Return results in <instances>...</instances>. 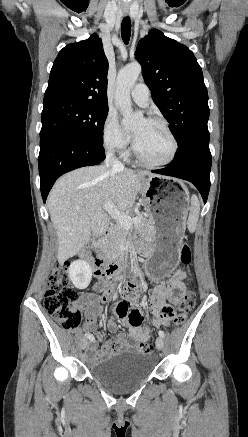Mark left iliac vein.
I'll return each mask as SVG.
<instances>
[{
  "label": "left iliac vein",
  "instance_id": "1",
  "mask_svg": "<svg viewBox=\"0 0 248 437\" xmlns=\"http://www.w3.org/2000/svg\"><path fill=\"white\" fill-rule=\"evenodd\" d=\"M156 347L158 350H162L164 347V339L162 337H157L156 339Z\"/></svg>",
  "mask_w": 248,
  "mask_h": 437
}]
</instances>
